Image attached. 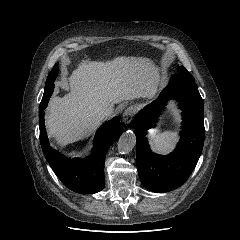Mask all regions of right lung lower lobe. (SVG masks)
<instances>
[{"instance_id": "98d812e1", "label": "right lung lower lobe", "mask_w": 240, "mask_h": 240, "mask_svg": "<svg viewBox=\"0 0 240 240\" xmlns=\"http://www.w3.org/2000/svg\"><path fill=\"white\" fill-rule=\"evenodd\" d=\"M48 104V103H47ZM39 108L40 144L44 156L54 173L70 190L80 194H93L105 186L104 163L106 153L122 134L123 127L117 117L104 123L95 136L94 151L86 159H70L52 149L47 137L44 110Z\"/></svg>"}]
</instances>
